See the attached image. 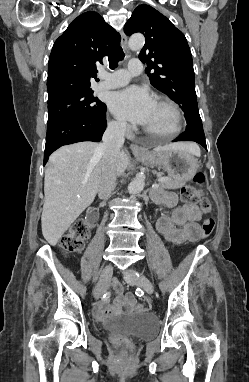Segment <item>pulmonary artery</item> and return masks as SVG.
<instances>
[{"label": "pulmonary artery", "mask_w": 249, "mask_h": 382, "mask_svg": "<svg viewBox=\"0 0 249 382\" xmlns=\"http://www.w3.org/2000/svg\"><path fill=\"white\" fill-rule=\"evenodd\" d=\"M143 70V64L139 59H131L126 69H119L113 73L102 71L100 89H115L126 85L132 76L138 75Z\"/></svg>", "instance_id": "e3ab8cb5"}]
</instances>
